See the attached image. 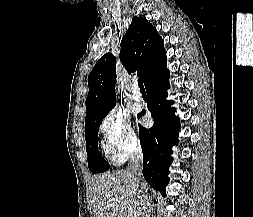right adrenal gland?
Here are the masks:
<instances>
[{
	"instance_id": "obj_1",
	"label": "right adrenal gland",
	"mask_w": 253,
	"mask_h": 217,
	"mask_svg": "<svg viewBox=\"0 0 253 217\" xmlns=\"http://www.w3.org/2000/svg\"><path fill=\"white\" fill-rule=\"evenodd\" d=\"M149 213H150V206H149V209H147V215H146V217H150Z\"/></svg>"
}]
</instances>
